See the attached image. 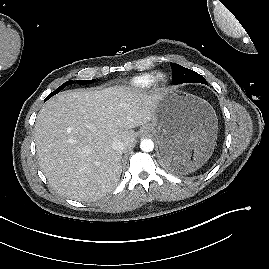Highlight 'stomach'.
I'll use <instances>...</instances> for the list:
<instances>
[{
	"mask_svg": "<svg viewBox=\"0 0 269 269\" xmlns=\"http://www.w3.org/2000/svg\"><path fill=\"white\" fill-rule=\"evenodd\" d=\"M217 115L205 100L175 90L157 95L153 117L141 129L159 145L161 164L173 171L187 170L208 159L216 144Z\"/></svg>",
	"mask_w": 269,
	"mask_h": 269,
	"instance_id": "obj_1",
	"label": "stomach"
}]
</instances>
